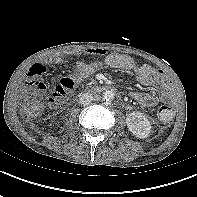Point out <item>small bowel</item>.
<instances>
[{
  "label": "small bowel",
  "instance_id": "c3829d8e",
  "mask_svg": "<svg viewBox=\"0 0 197 197\" xmlns=\"http://www.w3.org/2000/svg\"><path fill=\"white\" fill-rule=\"evenodd\" d=\"M102 49H88L85 51H71L70 55H88V56H102L104 55ZM64 58L60 55L49 56L41 59L38 63L34 64L28 75L31 78H37L44 75L47 68L51 64H62ZM105 64L113 69H119L126 72L134 73L138 82L144 86H151L157 84L160 88L158 95L148 92H134L133 98L143 107L155 106L159 101H169L173 97V85L164 77L161 70L154 68L150 65H139L131 57L119 53H110L105 57ZM100 66L97 61L91 62H78L76 65L77 73L73 76L74 81H80L83 78L92 75ZM37 80H31L28 85Z\"/></svg>",
  "mask_w": 197,
  "mask_h": 197
}]
</instances>
